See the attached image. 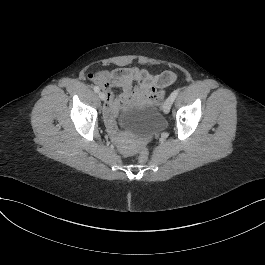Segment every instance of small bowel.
Returning <instances> with one entry per match:
<instances>
[{
    "label": "small bowel",
    "instance_id": "1",
    "mask_svg": "<svg viewBox=\"0 0 265 265\" xmlns=\"http://www.w3.org/2000/svg\"><path fill=\"white\" fill-rule=\"evenodd\" d=\"M112 62L118 66L116 69L91 76L106 96L103 114L110 128H113L114 119L123 107L158 103L164 96V88L176 79V74L171 71L152 75L146 69L130 67L123 58H116ZM116 87L122 90L121 94L115 95Z\"/></svg>",
    "mask_w": 265,
    "mask_h": 265
}]
</instances>
